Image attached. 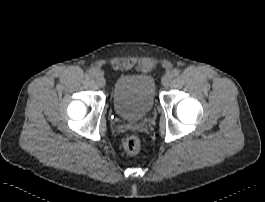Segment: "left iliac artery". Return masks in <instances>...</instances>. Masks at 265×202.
Instances as JSON below:
<instances>
[{"label":"left iliac artery","instance_id":"1","mask_svg":"<svg viewBox=\"0 0 265 202\" xmlns=\"http://www.w3.org/2000/svg\"><path fill=\"white\" fill-rule=\"evenodd\" d=\"M172 74H173L174 76H178V75L180 74V70L177 69V68H175V69H173Z\"/></svg>","mask_w":265,"mask_h":202}]
</instances>
